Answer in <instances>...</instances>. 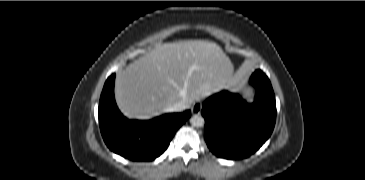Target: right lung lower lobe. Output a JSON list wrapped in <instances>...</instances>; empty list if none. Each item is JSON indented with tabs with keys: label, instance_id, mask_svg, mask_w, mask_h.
Returning <instances> with one entry per match:
<instances>
[{
	"label": "right lung lower lobe",
	"instance_id": "obj_1",
	"mask_svg": "<svg viewBox=\"0 0 365 180\" xmlns=\"http://www.w3.org/2000/svg\"><path fill=\"white\" fill-rule=\"evenodd\" d=\"M115 74L106 81L99 102L102 137L113 152L132 161H152L168 147L190 110L170 113L148 121L129 120L119 111L114 98Z\"/></svg>",
	"mask_w": 365,
	"mask_h": 180
}]
</instances>
